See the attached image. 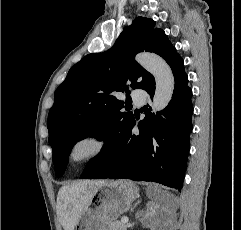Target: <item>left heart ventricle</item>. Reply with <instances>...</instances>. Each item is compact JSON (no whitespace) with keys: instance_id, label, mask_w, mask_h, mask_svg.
<instances>
[{"instance_id":"b2bd125f","label":"left heart ventricle","mask_w":241,"mask_h":230,"mask_svg":"<svg viewBox=\"0 0 241 230\" xmlns=\"http://www.w3.org/2000/svg\"><path fill=\"white\" fill-rule=\"evenodd\" d=\"M91 148H92V146L88 143H82V144L78 145L74 150V154H73L74 158L79 159V158L83 157L91 150Z\"/></svg>"}]
</instances>
